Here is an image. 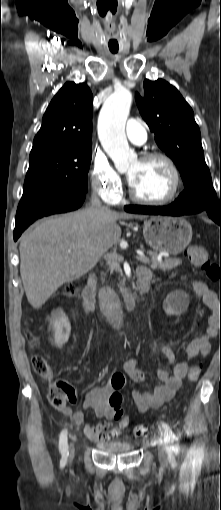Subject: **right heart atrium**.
Returning a JSON list of instances; mask_svg holds the SVG:
<instances>
[{"label": "right heart atrium", "instance_id": "right-heart-atrium-1", "mask_svg": "<svg viewBox=\"0 0 221 510\" xmlns=\"http://www.w3.org/2000/svg\"><path fill=\"white\" fill-rule=\"evenodd\" d=\"M90 180L93 190L106 203L112 204L120 197L122 192L121 177L101 152H96L92 156Z\"/></svg>", "mask_w": 221, "mask_h": 510}]
</instances>
